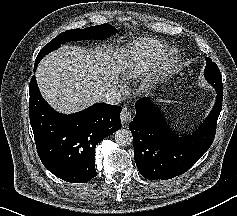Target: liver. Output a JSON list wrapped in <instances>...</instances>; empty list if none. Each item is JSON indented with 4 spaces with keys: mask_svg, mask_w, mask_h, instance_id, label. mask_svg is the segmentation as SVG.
<instances>
[{
    "mask_svg": "<svg viewBox=\"0 0 237 216\" xmlns=\"http://www.w3.org/2000/svg\"><path fill=\"white\" fill-rule=\"evenodd\" d=\"M105 46L96 50L62 46L36 70L42 97L57 111L71 114L99 102L100 92L115 86L125 69L113 64Z\"/></svg>",
    "mask_w": 237,
    "mask_h": 216,
    "instance_id": "1",
    "label": "liver"
}]
</instances>
